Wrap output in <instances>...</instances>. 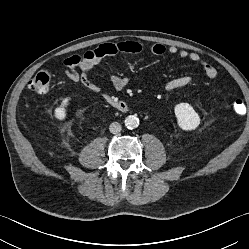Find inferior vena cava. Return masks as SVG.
Masks as SVG:
<instances>
[{
  "label": "inferior vena cava",
  "mask_w": 249,
  "mask_h": 249,
  "mask_svg": "<svg viewBox=\"0 0 249 249\" xmlns=\"http://www.w3.org/2000/svg\"><path fill=\"white\" fill-rule=\"evenodd\" d=\"M109 130L111 133L117 134L122 130V127L118 122H112L109 126Z\"/></svg>",
  "instance_id": "1"
}]
</instances>
